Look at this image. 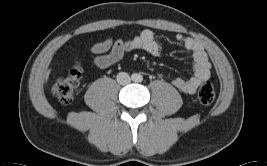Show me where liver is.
Here are the masks:
<instances>
[{
  "label": "liver",
  "mask_w": 267,
  "mask_h": 166,
  "mask_svg": "<svg viewBox=\"0 0 267 166\" xmlns=\"http://www.w3.org/2000/svg\"><path fill=\"white\" fill-rule=\"evenodd\" d=\"M49 74H50V70H48L47 73H46V77H45L46 80L48 79Z\"/></svg>",
  "instance_id": "liver-1"
}]
</instances>
